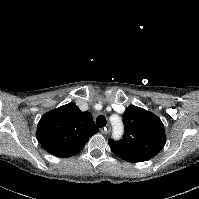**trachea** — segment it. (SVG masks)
<instances>
[{
    "instance_id": "1",
    "label": "trachea",
    "mask_w": 199,
    "mask_h": 199,
    "mask_svg": "<svg viewBox=\"0 0 199 199\" xmlns=\"http://www.w3.org/2000/svg\"><path fill=\"white\" fill-rule=\"evenodd\" d=\"M96 125L100 128L106 126V118L103 115L98 116L96 118Z\"/></svg>"
}]
</instances>
